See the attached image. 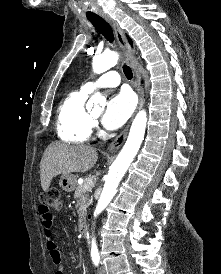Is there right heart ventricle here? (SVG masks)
<instances>
[{
    "instance_id": "e07e8e85",
    "label": "right heart ventricle",
    "mask_w": 221,
    "mask_h": 274,
    "mask_svg": "<svg viewBox=\"0 0 221 274\" xmlns=\"http://www.w3.org/2000/svg\"><path fill=\"white\" fill-rule=\"evenodd\" d=\"M88 92L83 89L70 92L57 110L56 129L59 138L80 144L88 140L92 131V117L85 108Z\"/></svg>"
}]
</instances>
